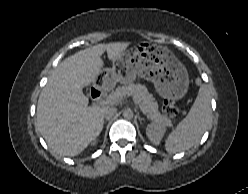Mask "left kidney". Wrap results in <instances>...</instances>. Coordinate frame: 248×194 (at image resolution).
Returning <instances> with one entry per match:
<instances>
[{
  "label": "left kidney",
  "mask_w": 248,
  "mask_h": 194,
  "mask_svg": "<svg viewBox=\"0 0 248 194\" xmlns=\"http://www.w3.org/2000/svg\"><path fill=\"white\" fill-rule=\"evenodd\" d=\"M165 131V126L159 123L148 124L146 128V134L149 140L155 145H159Z\"/></svg>",
  "instance_id": "obj_1"
}]
</instances>
